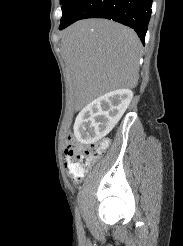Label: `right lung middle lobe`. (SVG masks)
<instances>
[{
  "label": "right lung middle lobe",
  "mask_w": 183,
  "mask_h": 246,
  "mask_svg": "<svg viewBox=\"0 0 183 246\" xmlns=\"http://www.w3.org/2000/svg\"><path fill=\"white\" fill-rule=\"evenodd\" d=\"M79 1L80 0H60V4L62 5V18L60 23L67 20Z\"/></svg>",
  "instance_id": "right-lung-middle-lobe-1"
}]
</instances>
